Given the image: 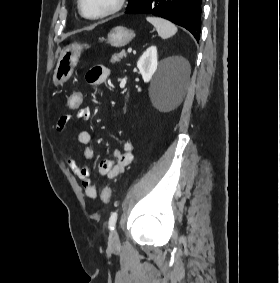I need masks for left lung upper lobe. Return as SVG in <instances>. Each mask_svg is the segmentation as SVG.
I'll return each mask as SVG.
<instances>
[{
  "label": "left lung upper lobe",
  "mask_w": 280,
  "mask_h": 283,
  "mask_svg": "<svg viewBox=\"0 0 280 283\" xmlns=\"http://www.w3.org/2000/svg\"><path fill=\"white\" fill-rule=\"evenodd\" d=\"M137 0H129V4L128 7H130L131 5H133Z\"/></svg>",
  "instance_id": "obj_1"
}]
</instances>
